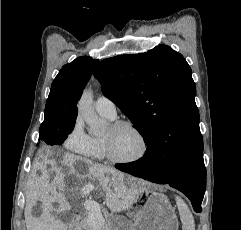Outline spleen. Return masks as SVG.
<instances>
[{
	"mask_svg": "<svg viewBox=\"0 0 241 230\" xmlns=\"http://www.w3.org/2000/svg\"><path fill=\"white\" fill-rule=\"evenodd\" d=\"M176 203L182 221V230H195L194 218L188 205L179 196H176Z\"/></svg>",
	"mask_w": 241,
	"mask_h": 230,
	"instance_id": "spleen-1",
	"label": "spleen"
}]
</instances>
